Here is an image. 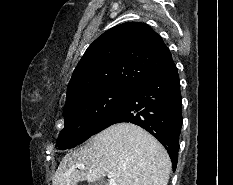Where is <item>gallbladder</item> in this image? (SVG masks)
Segmentation results:
<instances>
[{
  "mask_svg": "<svg viewBox=\"0 0 233 185\" xmlns=\"http://www.w3.org/2000/svg\"><path fill=\"white\" fill-rule=\"evenodd\" d=\"M92 185H104V184H103V182H101V181H96V182H94Z\"/></svg>",
  "mask_w": 233,
  "mask_h": 185,
  "instance_id": "bac80fb5",
  "label": "gallbladder"
}]
</instances>
